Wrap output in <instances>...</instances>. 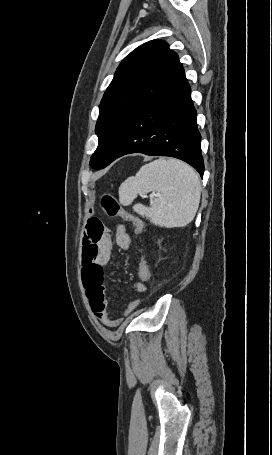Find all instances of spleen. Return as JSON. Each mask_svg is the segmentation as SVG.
Instances as JSON below:
<instances>
[{
	"mask_svg": "<svg viewBox=\"0 0 272 455\" xmlns=\"http://www.w3.org/2000/svg\"><path fill=\"white\" fill-rule=\"evenodd\" d=\"M198 173L177 159H158L140 168L119 187V200L129 206L138 195L156 191L150 206L135 204L133 210L157 226L173 228L189 224L195 217L201 198Z\"/></svg>",
	"mask_w": 272,
	"mask_h": 455,
	"instance_id": "spleen-1",
	"label": "spleen"
}]
</instances>
